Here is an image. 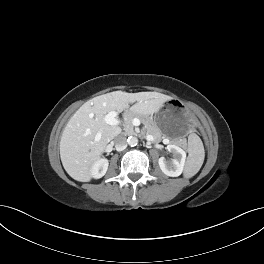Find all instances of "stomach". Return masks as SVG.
I'll list each match as a JSON object with an SVG mask.
<instances>
[{
  "label": "stomach",
  "mask_w": 264,
  "mask_h": 264,
  "mask_svg": "<svg viewBox=\"0 0 264 264\" xmlns=\"http://www.w3.org/2000/svg\"><path fill=\"white\" fill-rule=\"evenodd\" d=\"M185 115L184 102L180 98H172L154 116V124L163 134L175 138L190 130V123L184 118Z\"/></svg>",
  "instance_id": "1"
}]
</instances>
